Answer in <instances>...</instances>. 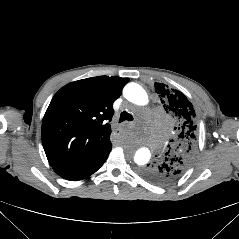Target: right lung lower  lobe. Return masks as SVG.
I'll return each mask as SVG.
<instances>
[{"mask_svg":"<svg viewBox=\"0 0 239 239\" xmlns=\"http://www.w3.org/2000/svg\"><path fill=\"white\" fill-rule=\"evenodd\" d=\"M111 148L112 144L109 142L87 161L61 174L60 176L70 181H78L87 178L103 165L111 151Z\"/></svg>","mask_w":239,"mask_h":239,"instance_id":"1","label":"right lung lower lobe"}]
</instances>
